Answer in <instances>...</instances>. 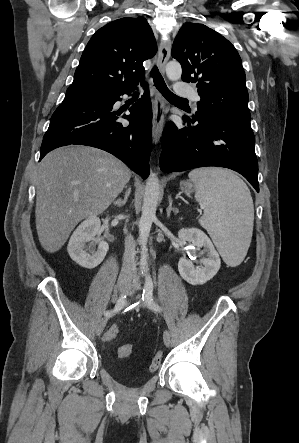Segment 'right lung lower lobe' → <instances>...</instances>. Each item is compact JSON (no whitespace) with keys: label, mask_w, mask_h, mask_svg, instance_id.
<instances>
[{"label":"right lung lower lobe","mask_w":299,"mask_h":443,"mask_svg":"<svg viewBox=\"0 0 299 443\" xmlns=\"http://www.w3.org/2000/svg\"><path fill=\"white\" fill-rule=\"evenodd\" d=\"M135 87L108 93L105 101L65 98L53 113L44 135L40 160L51 150L79 144L105 150L124 161L144 179L149 175L151 153L152 107L148 88L130 109L128 126L118 121L121 113L113 105L123 94L130 95Z\"/></svg>","instance_id":"1"}]
</instances>
